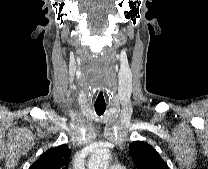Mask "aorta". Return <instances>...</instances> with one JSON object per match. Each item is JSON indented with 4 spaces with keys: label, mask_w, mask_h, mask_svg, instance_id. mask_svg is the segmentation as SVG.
I'll use <instances>...</instances> for the list:
<instances>
[{
    "label": "aorta",
    "mask_w": 208,
    "mask_h": 169,
    "mask_svg": "<svg viewBox=\"0 0 208 169\" xmlns=\"http://www.w3.org/2000/svg\"><path fill=\"white\" fill-rule=\"evenodd\" d=\"M110 156L111 152L107 147H99L91 155L88 162V169H108Z\"/></svg>",
    "instance_id": "762f6f07"
}]
</instances>
